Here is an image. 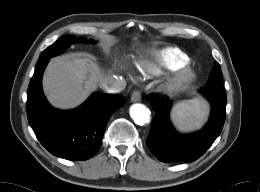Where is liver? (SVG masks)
Wrapping results in <instances>:
<instances>
[{"mask_svg": "<svg viewBox=\"0 0 260 192\" xmlns=\"http://www.w3.org/2000/svg\"><path fill=\"white\" fill-rule=\"evenodd\" d=\"M103 79V70L90 58L55 57L45 70L43 89L51 105L70 109L83 103Z\"/></svg>", "mask_w": 260, "mask_h": 192, "instance_id": "liver-1", "label": "liver"}]
</instances>
